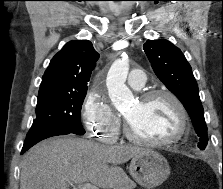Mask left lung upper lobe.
Listing matches in <instances>:
<instances>
[{
	"label": "left lung upper lobe",
	"instance_id": "1",
	"mask_svg": "<svg viewBox=\"0 0 223 189\" xmlns=\"http://www.w3.org/2000/svg\"><path fill=\"white\" fill-rule=\"evenodd\" d=\"M143 49L157 77L181 101L189 113L197 135L198 147L204 150L207 142V126L200 101L198 85L185 56L170 41L147 40Z\"/></svg>",
	"mask_w": 223,
	"mask_h": 189
}]
</instances>
